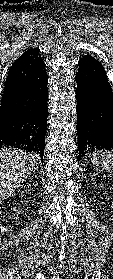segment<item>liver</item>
Listing matches in <instances>:
<instances>
[{
    "label": "liver",
    "instance_id": "6515ba94",
    "mask_svg": "<svg viewBox=\"0 0 113 279\" xmlns=\"http://www.w3.org/2000/svg\"><path fill=\"white\" fill-rule=\"evenodd\" d=\"M36 155L20 149L0 150V202L11 197L31 175Z\"/></svg>",
    "mask_w": 113,
    "mask_h": 279
}]
</instances>
